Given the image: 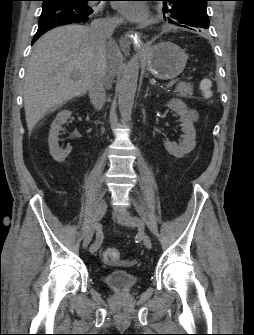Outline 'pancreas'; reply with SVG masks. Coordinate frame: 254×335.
<instances>
[{"label":"pancreas","mask_w":254,"mask_h":335,"mask_svg":"<svg viewBox=\"0 0 254 335\" xmlns=\"http://www.w3.org/2000/svg\"><path fill=\"white\" fill-rule=\"evenodd\" d=\"M174 92L179 97L190 98L193 94V85L191 83L180 82L177 84Z\"/></svg>","instance_id":"cf45deb5"}]
</instances>
